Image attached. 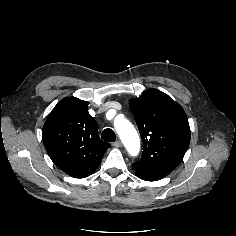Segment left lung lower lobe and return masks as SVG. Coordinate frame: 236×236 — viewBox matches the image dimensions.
Listing matches in <instances>:
<instances>
[{
	"mask_svg": "<svg viewBox=\"0 0 236 236\" xmlns=\"http://www.w3.org/2000/svg\"><path fill=\"white\" fill-rule=\"evenodd\" d=\"M134 171H135V174L137 177H139L140 179L142 180H146V181H157V180H160L162 178H158V177H155V176H152L150 174H148L147 172H145L144 170L138 168V167H135V166H132Z\"/></svg>",
	"mask_w": 236,
	"mask_h": 236,
	"instance_id": "obj_1",
	"label": "left lung lower lobe"
}]
</instances>
